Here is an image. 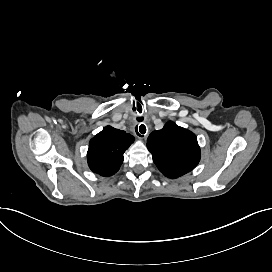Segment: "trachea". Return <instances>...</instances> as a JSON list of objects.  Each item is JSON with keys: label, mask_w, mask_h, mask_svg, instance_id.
Segmentation results:
<instances>
[{"label": "trachea", "mask_w": 272, "mask_h": 272, "mask_svg": "<svg viewBox=\"0 0 272 272\" xmlns=\"http://www.w3.org/2000/svg\"><path fill=\"white\" fill-rule=\"evenodd\" d=\"M136 132H137L138 135H139V133L144 135L145 132H146V127L143 124H141L140 127H139V132H138L137 128H136Z\"/></svg>", "instance_id": "trachea-1"}]
</instances>
